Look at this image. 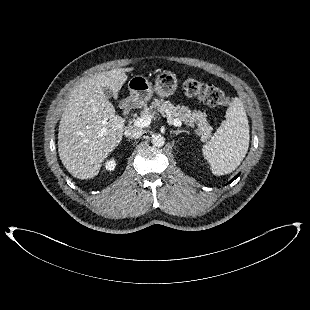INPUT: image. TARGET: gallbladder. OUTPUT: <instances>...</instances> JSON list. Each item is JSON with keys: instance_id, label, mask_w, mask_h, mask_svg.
<instances>
[{"instance_id": "gallbladder-1", "label": "gallbladder", "mask_w": 310, "mask_h": 310, "mask_svg": "<svg viewBox=\"0 0 310 310\" xmlns=\"http://www.w3.org/2000/svg\"><path fill=\"white\" fill-rule=\"evenodd\" d=\"M103 92L107 98H111L114 95V92L109 88H103Z\"/></svg>"}]
</instances>
